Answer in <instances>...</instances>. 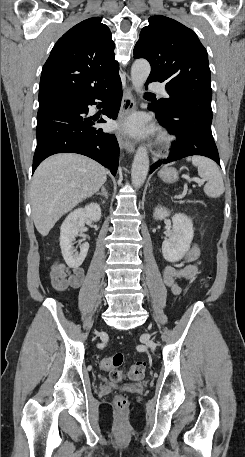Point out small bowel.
Instances as JSON below:
<instances>
[{
	"mask_svg": "<svg viewBox=\"0 0 245 457\" xmlns=\"http://www.w3.org/2000/svg\"><path fill=\"white\" fill-rule=\"evenodd\" d=\"M199 255L198 246L193 245L185 255L183 266L168 265L163 269V282L173 294H180V281L192 279L197 275L198 269L194 262ZM49 276L53 288L63 292L69 288H79L82 285L84 270L81 267H70L60 261H55L50 267Z\"/></svg>",
	"mask_w": 245,
	"mask_h": 457,
	"instance_id": "small-bowel-1",
	"label": "small bowel"
}]
</instances>
